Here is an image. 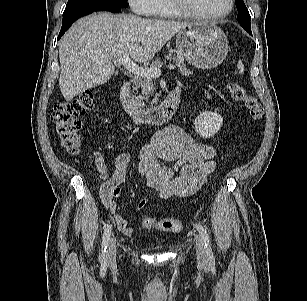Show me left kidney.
<instances>
[{"label": "left kidney", "instance_id": "5707ae66", "mask_svg": "<svg viewBox=\"0 0 307 301\" xmlns=\"http://www.w3.org/2000/svg\"><path fill=\"white\" fill-rule=\"evenodd\" d=\"M223 118L216 112L205 111L200 113L194 121L195 131L203 138L214 136L221 128Z\"/></svg>", "mask_w": 307, "mask_h": 301}]
</instances>
